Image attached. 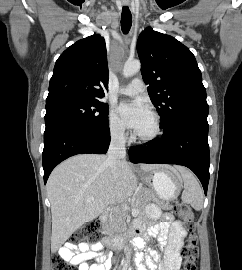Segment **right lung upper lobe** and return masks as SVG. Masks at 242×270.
Returning a JSON list of instances; mask_svg holds the SVG:
<instances>
[{
  "label": "right lung upper lobe",
  "mask_w": 242,
  "mask_h": 270,
  "mask_svg": "<svg viewBox=\"0 0 242 270\" xmlns=\"http://www.w3.org/2000/svg\"><path fill=\"white\" fill-rule=\"evenodd\" d=\"M108 90L105 40L98 34L77 41L57 59L46 105L67 100H98Z\"/></svg>",
  "instance_id": "right-lung-upper-lobe-1"
}]
</instances>
